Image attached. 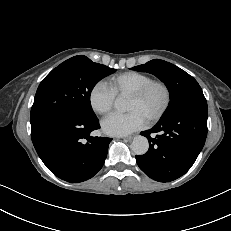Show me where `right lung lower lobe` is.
<instances>
[{"label":"right lung lower lobe","mask_w":231,"mask_h":231,"mask_svg":"<svg viewBox=\"0 0 231 231\" xmlns=\"http://www.w3.org/2000/svg\"><path fill=\"white\" fill-rule=\"evenodd\" d=\"M98 118L62 115L32 132L33 145L46 167L70 183L83 182L102 168L111 138L92 137Z\"/></svg>","instance_id":"1"}]
</instances>
